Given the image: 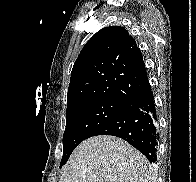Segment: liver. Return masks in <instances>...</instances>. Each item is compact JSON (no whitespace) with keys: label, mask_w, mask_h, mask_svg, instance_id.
<instances>
[{"label":"liver","mask_w":196,"mask_h":182,"mask_svg":"<svg viewBox=\"0 0 196 182\" xmlns=\"http://www.w3.org/2000/svg\"><path fill=\"white\" fill-rule=\"evenodd\" d=\"M59 182H156L153 167L126 141L91 137L70 156Z\"/></svg>","instance_id":"obj_1"}]
</instances>
